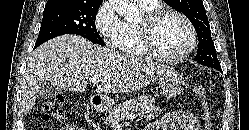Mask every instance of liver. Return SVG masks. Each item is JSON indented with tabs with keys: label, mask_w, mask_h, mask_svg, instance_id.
I'll return each instance as SVG.
<instances>
[{
	"label": "liver",
	"mask_w": 249,
	"mask_h": 130,
	"mask_svg": "<svg viewBox=\"0 0 249 130\" xmlns=\"http://www.w3.org/2000/svg\"><path fill=\"white\" fill-rule=\"evenodd\" d=\"M170 71L148 58L122 55L77 35L59 36L32 52L23 77L21 111L26 114L35 105L42 82L83 92L86 80L97 79L98 93H129Z\"/></svg>",
	"instance_id": "liver-1"
}]
</instances>
